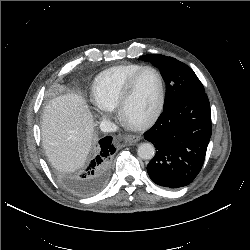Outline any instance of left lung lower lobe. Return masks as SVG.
<instances>
[{
  "label": "left lung lower lobe",
  "instance_id": "0a47b994",
  "mask_svg": "<svg viewBox=\"0 0 250 250\" xmlns=\"http://www.w3.org/2000/svg\"><path fill=\"white\" fill-rule=\"evenodd\" d=\"M210 137V104L204 92L164 108L155 125L144 133L157 150L147 165L151 180L168 188L190 184L202 168Z\"/></svg>",
  "mask_w": 250,
  "mask_h": 250
}]
</instances>
